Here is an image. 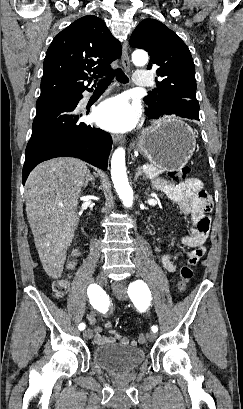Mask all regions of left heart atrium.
<instances>
[{"label":"left heart atrium","instance_id":"obj_1","mask_svg":"<svg viewBox=\"0 0 243 409\" xmlns=\"http://www.w3.org/2000/svg\"><path fill=\"white\" fill-rule=\"evenodd\" d=\"M139 108L124 95H117L102 102L95 111L97 124L111 132L132 129L137 121Z\"/></svg>","mask_w":243,"mask_h":409}]
</instances>
